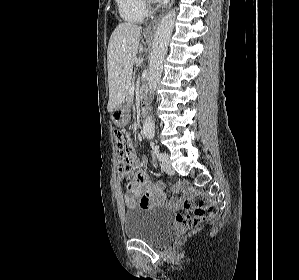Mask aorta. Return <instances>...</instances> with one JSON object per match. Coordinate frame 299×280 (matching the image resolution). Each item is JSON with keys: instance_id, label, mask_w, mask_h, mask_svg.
Listing matches in <instances>:
<instances>
[{"instance_id": "obj_1", "label": "aorta", "mask_w": 299, "mask_h": 280, "mask_svg": "<svg viewBox=\"0 0 299 280\" xmlns=\"http://www.w3.org/2000/svg\"><path fill=\"white\" fill-rule=\"evenodd\" d=\"M175 17V10L169 11L160 21L154 35L147 77L148 87L151 93L155 90L163 71V62L173 32ZM143 129L147 138L151 139L154 137L155 124L150 116L145 119Z\"/></svg>"}]
</instances>
